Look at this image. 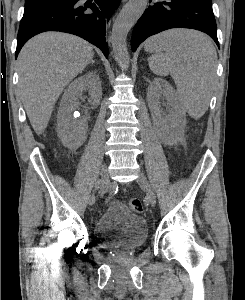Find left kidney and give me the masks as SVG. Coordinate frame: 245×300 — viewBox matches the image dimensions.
Listing matches in <instances>:
<instances>
[{"label":"left kidney","mask_w":245,"mask_h":300,"mask_svg":"<svg viewBox=\"0 0 245 300\" xmlns=\"http://www.w3.org/2000/svg\"><path fill=\"white\" fill-rule=\"evenodd\" d=\"M161 99H165L170 107L168 115L161 109ZM147 100L162 141L167 144L180 141L184 135L186 113L172 86L162 78L154 79L148 87Z\"/></svg>","instance_id":"1"}]
</instances>
